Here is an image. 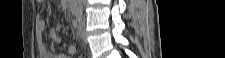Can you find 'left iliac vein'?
<instances>
[{"instance_id": "left-iliac-vein-1", "label": "left iliac vein", "mask_w": 225, "mask_h": 58, "mask_svg": "<svg viewBox=\"0 0 225 58\" xmlns=\"http://www.w3.org/2000/svg\"><path fill=\"white\" fill-rule=\"evenodd\" d=\"M78 35L79 38L83 41V42H87L86 39V31L84 28V21L83 20H79V25H78Z\"/></svg>"}]
</instances>
